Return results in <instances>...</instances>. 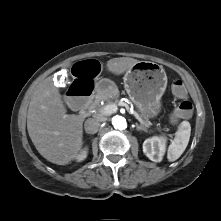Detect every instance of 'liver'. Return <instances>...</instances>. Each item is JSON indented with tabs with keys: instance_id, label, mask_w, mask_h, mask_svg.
<instances>
[{
	"instance_id": "1",
	"label": "liver",
	"mask_w": 221,
	"mask_h": 221,
	"mask_svg": "<svg viewBox=\"0 0 221 221\" xmlns=\"http://www.w3.org/2000/svg\"><path fill=\"white\" fill-rule=\"evenodd\" d=\"M139 62L130 57L107 61V69L122 74ZM59 90L47 78L38 85L31 98L27 130L35 148L46 160L57 165L69 164L80 152L84 117L66 114Z\"/></svg>"
}]
</instances>
